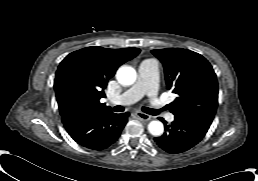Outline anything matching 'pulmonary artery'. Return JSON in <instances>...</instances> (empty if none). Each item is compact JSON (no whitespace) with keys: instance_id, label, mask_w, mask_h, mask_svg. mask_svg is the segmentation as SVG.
<instances>
[{"instance_id":"pulmonary-artery-1","label":"pulmonary artery","mask_w":258,"mask_h":181,"mask_svg":"<svg viewBox=\"0 0 258 181\" xmlns=\"http://www.w3.org/2000/svg\"><path fill=\"white\" fill-rule=\"evenodd\" d=\"M157 80L158 63L154 59L144 60L139 65L136 83L121 95L111 98L110 102L113 104H132L148 95L152 108L159 110L162 107V100L157 96ZM168 119L173 121L174 116L169 115Z\"/></svg>"}]
</instances>
